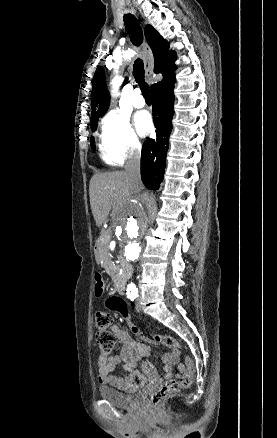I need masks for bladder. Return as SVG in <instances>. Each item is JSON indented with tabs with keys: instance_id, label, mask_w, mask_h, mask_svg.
Masks as SVG:
<instances>
[{
	"instance_id": "obj_1",
	"label": "bladder",
	"mask_w": 277,
	"mask_h": 438,
	"mask_svg": "<svg viewBox=\"0 0 277 438\" xmlns=\"http://www.w3.org/2000/svg\"><path fill=\"white\" fill-rule=\"evenodd\" d=\"M97 396L100 397L102 401L122 409H133L142 400L141 392L137 391L125 395L122 391L110 387L98 389Z\"/></svg>"
}]
</instances>
